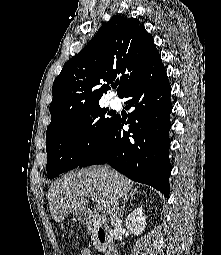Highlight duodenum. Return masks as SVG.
I'll return each instance as SVG.
<instances>
[{
    "instance_id": "obj_1",
    "label": "duodenum",
    "mask_w": 221,
    "mask_h": 255,
    "mask_svg": "<svg viewBox=\"0 0 221 255\" xmlns=\"http://www.w3.org/2000/svg\"><path fill=\"white\" fill-rule=\"evenodd\" d=\"M79 218L83 223L92 226L97 242L103 247L104 255H118V249L116 245L109 240L101 217L92 211H83L79 214Z\"/></svg>"
}]
</instances>
